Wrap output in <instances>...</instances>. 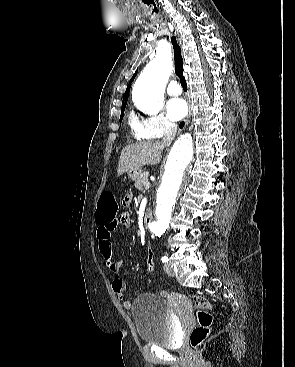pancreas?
<instances>
[{
    "label": "pancreas",
    "instance_id": "pancreas-1",
    "mask_svg": "<svg viewBox=\"0 0 295 367\" xmlns=\"http://www.w3.org/2000/svg\"><path fill=\"white\" fill-rule=\"evenodd\" d=\"M148 182V176L146 173H143L140 178L138 180L135 181V187L139 190V191H143V187L145 185V183Z\"/></svg>",
    "mask_w": 295,
    "mask_h": 367
}]
</instances>
